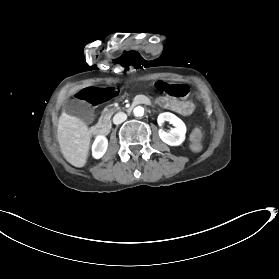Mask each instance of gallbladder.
<instances>
[{
  "instance_id": "gallbladder-1",
  "label": "gallbladder",
  "mask_w": 279,
  "mask_h": 279,
  "mask_svg": "<svg viewBox=\"0 0 279 279\" xmlns=\"http://www.w3.org/2000/svg\"><path fill=\"white\" fill-rule=\"evenodd\" d=\"M63 111L67 115H79L81 120H83L86 124H93L95 122V113L93 109H91L89 103L82 101L77 102L74 101L70 104L64 106Z\"/></svg>"
}]
</instances>
